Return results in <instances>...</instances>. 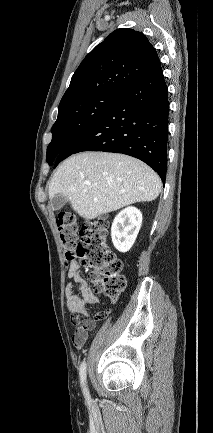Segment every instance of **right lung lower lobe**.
I'll list each match as a JSON object with an SVG mask.
<instances>
[{
  "label": "right lung lower lobe",
  "mask_w": 213,
  "mask_h": 433,
  "mask_svg": "<svg viewBox=\"0 0 213 433\" xmlns=\"http://www.w3.org/2000/svg\"><path fill=\"white\" fill-rule=\"evenodd\" d=\"M168 89L161 63L156 62L135 85L93 125L76 137L55 159L81 151L117 152L152 167L163 183L167 171Z\"/></svg>",
  "instance_id": "obj_1"
}]
</instances>
